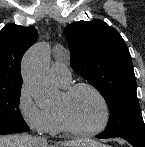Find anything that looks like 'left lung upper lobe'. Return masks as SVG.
<instances>
[{
  "label": "left lung upper lobe",
  "instance_id": "5c2ea615",
  "mask_svg": "<svg viewBox=\"0 0 145 147\" xmlns=\"http://www.w3.org/2000/svg\"><path fill=\"white\" fill-rule=\"evenodd\" d=\"M71 68L103 95L110 118L102 133L145 140L136 80L129 50L121 35L104 21H79L65 28Z\"/></svg>",
  "mask_w": 145,
  "mask_h": 147
}]
</instances>
